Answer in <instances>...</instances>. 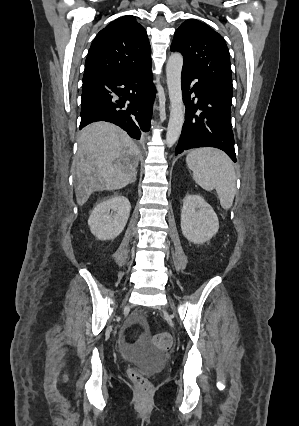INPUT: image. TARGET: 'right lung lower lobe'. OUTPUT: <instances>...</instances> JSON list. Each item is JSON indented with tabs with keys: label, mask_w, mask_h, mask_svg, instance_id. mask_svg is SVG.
Instances as JSON below:
<instances>
[{
	"label": "right lung lower lobe",
	"mask_w": 299,
	"mask_h": 426,
	"mask_svg": "<svg viewBox=\"0 0 299 426\" xmlns=\"http://www.w3.org/2000/svg\"><path fill=\"white\" fill-rule=\"evenodd\" d=\"M151 65L104 79L83 81L80 129L107 121L132 138H143L150 129L155 87Z\"/></svg>",
	"instance_id": "obj_1"
}]
</instances>
